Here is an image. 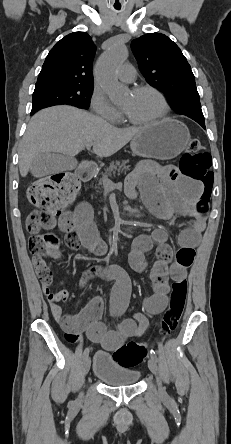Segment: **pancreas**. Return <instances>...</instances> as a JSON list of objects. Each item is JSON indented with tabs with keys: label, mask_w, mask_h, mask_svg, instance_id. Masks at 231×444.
Here are the masks:
<instances>
[{
	"label": "pancreas",
	"mask_w": 231,
	"mask_h": 444,
	"mask_svg": "<svg viewBox=\"0 0 231 444\" xmlns=\"http://www.w3.org/2000/svg\"><path fill=\"white\" fill-rule=\"evenodd\" d=\"M127 161H115L111 162L107 168L104 169V172H102V177H111L112 175H115L116 173H120L123 170L129 169V165H126ZM102 182V178L100 179V183Z\"/></svg>",
	"instance_id": "obj_1"
}]
</instances>
